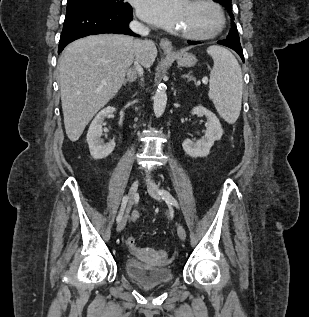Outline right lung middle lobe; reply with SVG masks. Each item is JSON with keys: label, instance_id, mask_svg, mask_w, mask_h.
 I'll return each instance as SVG.
<instances>
[{"label": "right lung middle lobe", "instance_id": "right-lung-middle-lobe-1", "mask_svg": "<svg viewBox=\"0 0 309 317\" xmlns=\"http://www.w3.org/2000/svg\"><path fill=\"white\" fill-rule=\"evenodd\" d=\"M67 5H83L118 11H131L132 7L123 0H68Z\"/></svg>", "mask_w": 309, "mask_h": 317}]
</instances>
